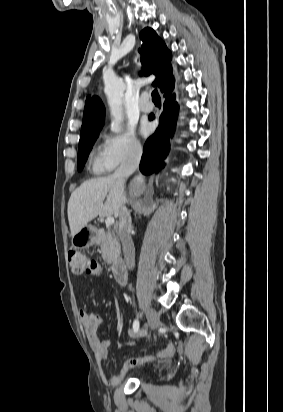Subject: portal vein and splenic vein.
I'll list each match as a JSON object with an SVG mask.
<instances>
[{"label":"portal vein and splenic vein","mask_w":283,"mask_h":412,"mask_svg":"<svg viewBox=\"0 0 283 412\" xmlns=\"http://www.w3.org/2000/svg\"><path fill=\"white\" fill-rule=\"evenodd\" d=\"M114 222H115V220H114L113 217H107L106 220H105V224H106L107 226L113 225Z\"/></svg>","instance_id":"portal-vein-and-splenic-vein-1"}]
</instances>
